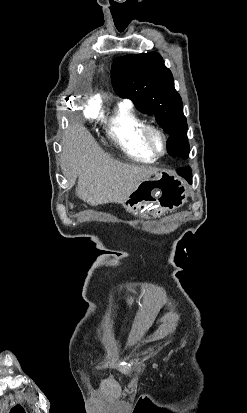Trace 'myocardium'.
I'll use <instances>...</instances> for the list:
<instances>
[{
	"instance_id": "1",
	"label": "myocardium",
	"mask_w": 247,
	"mask_h": 413,
	"mask_svg": "<svg viewBox=\"0 0 247 413\" xmlns=\"http://www.w3.org/2000/svg\"><path fill=\"white\" fill-rule=\"evenodd\" d=\"M150 132H154L156 134L159 135V137L161 138L162 141V149L161 150H157L156 148H154L148 141V134ZM139 141L140 144L142 145V147L151 155L155 156V157H161L166 153L167 150V137L165 135V133L158 127L153 126V125H143L139 131Z\"/></svg>"
}]
</instances>
